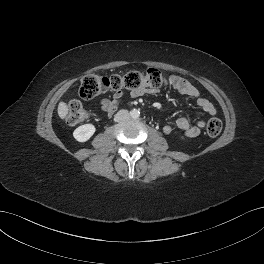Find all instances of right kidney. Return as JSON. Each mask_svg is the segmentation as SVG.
Listing matches in <instances>:
<instances>
[{"mask_svg":"<svg viewBox=\"0 0 264 264\" xmlns=\"http://www.w3.org/2000/svg\"><path fill=\"white\" fill-rule=\"evenodd\" d=\"M96 128L92 124L81 125L73 132L74 138L79 142H86L95 133Z\"/></svg>","mask_w":264,"mask_h":264,"instance_id":"ca27d5eb","label":"right kidney"}]
</instances>
